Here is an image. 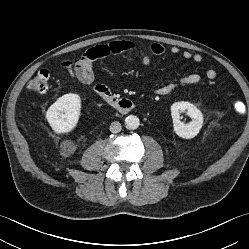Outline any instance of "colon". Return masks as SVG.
<instances>
[{
    "instance_id": "colon-1",
    "label": "colon",
    "mask_w": 249,
    "mask_h": 249,
    "mask_svg": "<svg viewBox=\"0 0 249 249\" xmlns=\"http://www.w3.org/2000/svg\"><path fill=\"white\" fill-rule=\"evenodd\" d=\"M50 74L46 70H40L33 78L28 82V89L34 93L44 94L49 88ZM233 110L237 114H243L245 111V105L242 101L236 100L233 103Z\"/></svg>"
}]
</instances>
